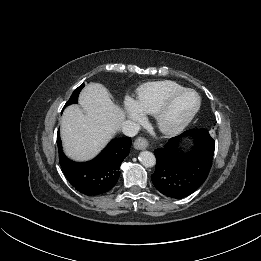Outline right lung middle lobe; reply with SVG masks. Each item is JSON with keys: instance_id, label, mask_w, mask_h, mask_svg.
<instances>
[{"instance_id": "right-lung-middle-lobe-1", "label": "right lung middle lobe", "mask_w": 261, "mask_h": 261, "mask_svg": "<svg viewBox=\"0 0 261 261\" xmlns=\"http://www.w3.org/2000/svg\"><path fill=\"white\" fill-rule=\"evenodd\" d=\"M84 83L81 84L74 92L73 94L71 95L70 99L68 100V102L65 104L64 108L70 104H74V103H77L78 101V96H79V93L80 91L82 90V88L84 87Z\"/></svg>"}]
</instances>
